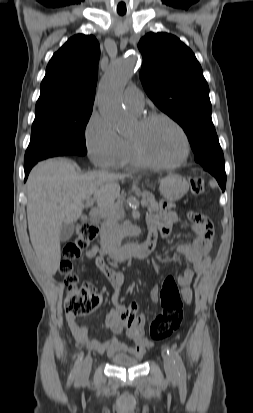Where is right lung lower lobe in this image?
<instances>
[{"label":"right lung lower lobe","instance_id":"1","mask_svg":"<svg viewBox=\"0 0 253 413\" xmlns=\"http://www.w3.org/2000/svg\"><path fill=\"white\" fill-rule=\"evenodd\" d=\"M37 162H38V161L29 162V163H26V164L24 165L25 181H26V179H27V177H28V174H29L31 168H32Z\"/></svg>","mask_w":253,"mask_h":413}]
</instances>
